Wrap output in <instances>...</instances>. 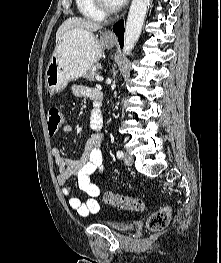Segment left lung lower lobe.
<instances>
[{
    "label": "left lung lower lobe",
    "instance_id": "1",
    "mask_svg": "<svg viewBox=\"0 0 221 263\" xmlns=\"http://www.w3.org/2000/svg\"><path fill=\"white\" fill-rule=\"evenodd\" d=\"M113 31L118 36L120 46L123 47V43H124V22L123 20L119 21L113 26Z\"/></svg>",
    "mask_w": 221,
    "mask_h": 263
}]
</instances>
